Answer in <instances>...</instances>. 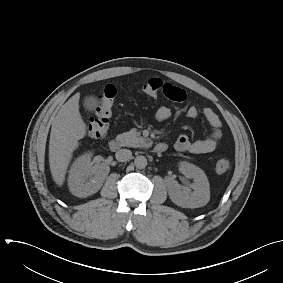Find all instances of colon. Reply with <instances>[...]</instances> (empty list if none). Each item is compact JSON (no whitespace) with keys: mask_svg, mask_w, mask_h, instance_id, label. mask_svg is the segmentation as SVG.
Returning <instances> with one entry per match:
<instances>
[{"mask_svg":"<svg viewBox=\"0 0 283 283\" xmlns=\"http://www.w3.org/2000/svg\"><path fill=\"white\" fill-rule=\"evenodd\" d=\"M163 87V82L159 78H150L143 85L144 93L155 96ZM117 89L114 85H107L99 98L98 108L95 115L91 116L87 123V130L91 137L101 138L106 135L112 116L114 100ZM231 167L228 158H220L215 165V171L218 174L226 173Z\"/></svg>","mask_w":283,"mask_h":283,"instance_id":"1","label":"colon"}]
</instances>
